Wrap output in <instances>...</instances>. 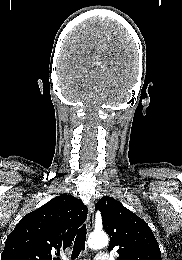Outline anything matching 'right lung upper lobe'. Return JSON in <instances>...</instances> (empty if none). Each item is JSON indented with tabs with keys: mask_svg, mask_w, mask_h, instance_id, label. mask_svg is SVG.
Masks as SVG:
<instances>
[{
	"mask_svg": "<svg viewBox=\"0 0 182 260\" xmlns=\"http://www.w3.org/2000/svg\"><path fill=\"white\" fill-rule=\"evenodd\" d=\"M87 207L63 194L26 214L8 235L1 260H59L86 220Z\"/></svg>",
	"mask_w": 182,
	"mask_h": 260,
	"instance_id": "right-lung-upper-lobe-1",
	"label": "right lung upper lobe"
}]
</instances>
